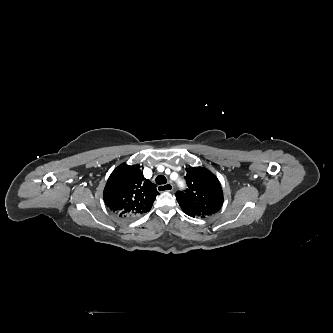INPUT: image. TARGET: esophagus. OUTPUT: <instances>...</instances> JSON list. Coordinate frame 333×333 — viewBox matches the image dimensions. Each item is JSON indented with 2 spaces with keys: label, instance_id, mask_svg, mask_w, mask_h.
I'll return each instance as SVG.
<instances>
[{
  "label": "esophagus",
  "instance_id": "esophagus-1",
  "mask_svg": "<svg viewBox=\"0 0 333 333\" xmlns=\"http://www.w3.org/2000/svg\"><path fill=\"white\" fill-rule=\"evenodd\" d=\"M173 185L171 183H167L165 185H160L157 187V189L162 192V191H172L173 190Z\"/></svg>",
  "mask_w": 333,
  "mask_h": 333
}]
</instances>
